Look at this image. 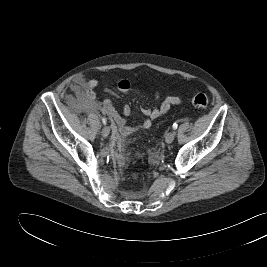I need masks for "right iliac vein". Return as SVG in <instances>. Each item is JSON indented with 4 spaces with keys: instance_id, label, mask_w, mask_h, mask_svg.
I'll use <instances>...</instances> for the list:
<instances>
[{
    "instance_id": "right-iliac-vein-1",
    "label": "right iliac vein",
    "mask_w": 267,
    "mask_h": 267,
    "mask_svg": "<svg viewBox=\"0 0 267 267\" xmlns=\"http://www.w3.org/2000/svg\"><path fill=\"white\" fill-rule=\"evenodd\" d=\"M109 133H110V128L108 126H104L101 131L102 136L107 137Z\"/></svg>"
}]
</instances>
